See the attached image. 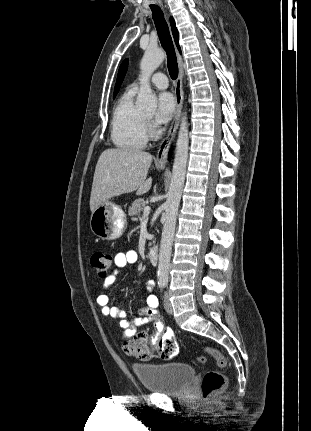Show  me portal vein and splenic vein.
<instances>
[{"label":"portal vein and splenic vein","mask_w":311,"mask_h":431,"mask_svg":"<svg viewBox=\"0 0 311 431\" xmlns=\"http://www.w3.org/2000/svg\"><path fill=\"white\" fill-rule=\"evenodd\" d=\"M150 210H151L150 206H146V208H144V210H143V216L142 217L149 216Z\"/></svg>","instance_id":"1"}]
</instances>
